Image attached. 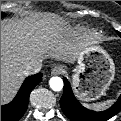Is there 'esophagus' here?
<instances>
[{
    "instance_id": "esophagus-1",
    "label": "esophagus",
    "mask_w": 121,
    "mask_h": 121,
    "mask_svg": "<svg viewBox=\"0 0 121 121\" xmlns=\"http://www.w3.org/2000/svg\"><path fill=\"white\" fill-rule=\"evenodd\" d=\"M65 71L64 66L62 65H56L52 68L51 74L52 75H60Z\"/></svg>"
}]
</instances>
